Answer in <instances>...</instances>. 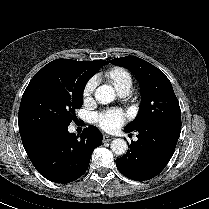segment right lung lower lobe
<instances>
[{"instance_id":"98d812e1","label":"right lung lower lobe","mask_w":209,"mask_h":209,"mask_svg":"<svg viewBox=\"0 0 209 209\" xmlns=\"http://www.w3.org/2000/svg\"><path fill=\"white\" fill-rule=\"evenodd\" d=\"M98 129H84L80 138L68 128L36 138L25 148L37 171L55 183H69L87 170L92 151L102 144Z\"/></svg>"}]
</instances>
